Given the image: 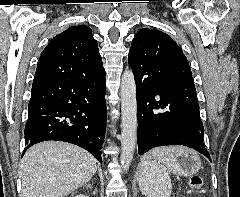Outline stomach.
I'll return each instance as SVG.
<instances>
[{"mask_svg": "<svg viewBox=\"0 0 240 197\" xmlns=\"http://www.w3.org/2000/svg\"><path fill=\"white\" fill-rule=\"evenodd\" d=\"M144 164V163H143ZM141 165V167L143 166ZM168 167L177 175L188 177L195 174L201 167V162L196 153L175 155ZM140 188L143 181L139 179Z\"/></svg>", "mask_w": 240, "mask_h": 197, "instance_id": "1", "label": "stomach"}]
</instances>
